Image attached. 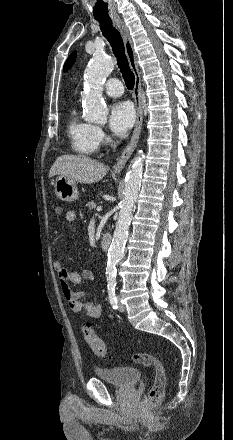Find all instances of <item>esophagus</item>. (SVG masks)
<instances>
[{
    "instance_id": "1",
    "label": "esophagus",
    "mask_w": 233,
    "mask_h": 440,
    "mask_svg": "<svg viewBox=\"0 0 233 440\" xmlns=\"http://www.w3.org/2000/svg\"><path fill=\"white\" fill-rule=\"evenodd\" d=\"M114 22L116 23L117 27L119 28V30L122 34L123 41H124V47H125V53H126V56L128 59V63H129L131 71L134 73L135 84H134L133 96H134L135 107H136V111H137L136 124H135V128H134L131 140L113 167V171L115 173H119L124 168L126 162L130 158L131 154L133 153V151L137 145V142H138V139L140 136V132H141L143 111H142V105H141V78H140V72H139L138 64H137V57L134 52L133 44L130 39L128 29H127L126 25L124 24V22L120 19V17H115Z\"/></svg>"
}]
</instances>
